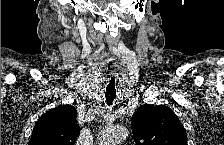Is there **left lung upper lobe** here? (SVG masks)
<instances>
[{
  "mask_svg": "<svg viewBox=\"0 0 224 145\" xmlns=\"http://www.w3.org/2000/svg\"><path fill=\"white\" fill-rule=\"evenodd\" d=\"M137 145H187L185 128L167 106H140L131 123Z\"/></svg>",
  "mask_w": 224,
  "mask_h": 145,
  "instance_id": "obj_1",
  "label": "left lung upper lobe"
}]
</instances>
